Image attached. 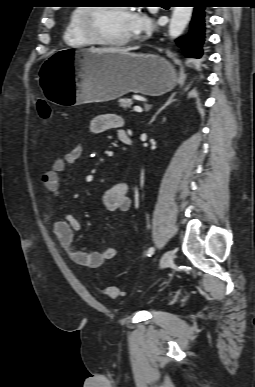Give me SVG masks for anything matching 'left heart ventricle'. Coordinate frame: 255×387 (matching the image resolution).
I'll return each instance as SVG.
<instances>
[{
  "mask_svg": "<svg viewBox=\"0 0 255 387\" xmlns=\"http://www.w3.org/2000/svg\"><path fill=\"white\" fill-rule=\"evenodd\" d=\"M131 12L119 7L100 9L94 17L95 28L100 36L110 40H120L133 35Z\"/></svg>",
  "mask_w": 255,
  "mask_h": 387,
  "instance_id": "b2bd125f",
  "label": "left heart ventricle"
}]
</instances>
